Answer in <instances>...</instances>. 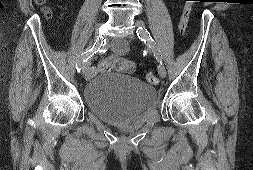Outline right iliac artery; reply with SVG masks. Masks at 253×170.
<instances>
[{"mask_svg": "<svg viewBox=\"0 0 253 170\" xmlns=\"http://www.w3.org/2000/svg\"><path fill=\"white\" fill-rule=\"evenodd\" d=\"M102 43H103L102 40L97 38L94 44L81 54V57L78 60L79 62H77L76 64V69L78 73H80L82 70V64L86 62L88 59H90L94 54H96L100 50Z\"/></svg>", "mask_w": 253, "mask_h": 170, "instance_id": "obj_1", "label": "right iliac artery"}]
</instances>
